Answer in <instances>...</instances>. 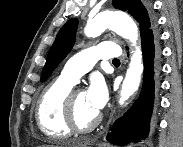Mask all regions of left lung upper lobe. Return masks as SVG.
<instances>
[{
    "instance_id": "obj_1",
    "label": "left lung upper lobe",
    "mask_w": 183,
    "mask_h": 147,
    "mask_svg": "<svg viewBox=\"0 0 183 147\" xmlns=\"http://www.w3.org/2000/svg\"><path fill=\"white\" fill-rule=\"evenodd\" d=\"M113 6L116 9L129 13L137 20L140 24L141 37L154 28L155 21L149 16L140 0H113ZM77 26L78 20L73 18L68 20L58 32L49 50L47 62L42 71L41 81H45L71 51L75 42Z\"/></svg>"
}]
</instances>
